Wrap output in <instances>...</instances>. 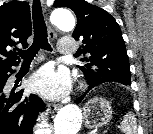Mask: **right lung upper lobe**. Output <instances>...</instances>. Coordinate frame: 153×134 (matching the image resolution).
<instances>
[{
    "instance_id": "obj_1",
    "label": "right lung upper lobe",
    "mask_w": 153,
    "mask_h": 134,
    "mask_svg": "<svg viewBox=\"0 0 153 134\" xmlns=\"http://www.w3.org/2000/svg\"><path fill=\"white\" fill-rule=\"evenodd\" d=\"M32 33L30 7L26 2L11 1L0 6V70L18 64L10 47L22 44Z\"/></svg>"
}]
</instances>
